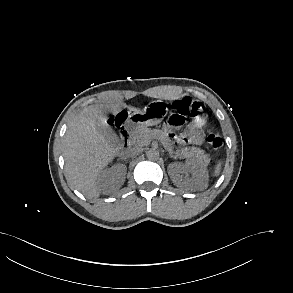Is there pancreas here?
Wrapping results in <instances>:
<instances>
[{
  "label": "pancreas",
  "mask_w": 293,
  "mask_h": 293,
  "mask_svg": "<svg viewBox=\"0 0 293 293\" xmlns=\"http://www.w3.org/2000/svg\"><path fill=\"white\" fill-rule=\"evenodd\" d=\"M156 131L147 127H139L133 131L130 136V143L133 146L142 147L150 143L151 139L155 137ZM166 149L174 158H195L200 161H208V155L204 150L197 147H185L181 150L173 151L171 145L164 143Z\"/></svg>",
  "instance_id": "1"
}]
</instances>
